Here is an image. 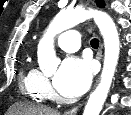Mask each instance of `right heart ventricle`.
Listing matches in <instances>:
<instances>
[{
	"mask_svg": "<svg viewBox=\"0 0 131 115\" xmlns=\"http://www.w3.org/2000/svg\"><path fill=\"white\" fill-rule=\"evenodd\" d=\"M41 72L31 63H25L20 73L21 92L30 100H39L44 94L40 88Z\"/></svg>",
	"mask_w": 131,
	"mask_h": 115,
	"instance_id": "1",
	"label": "right heart ventricle"
}]
</instances>
